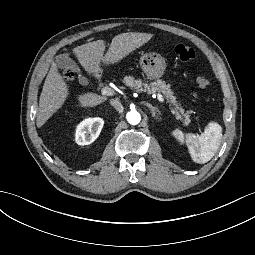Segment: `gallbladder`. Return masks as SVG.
I'll list each match as a JSON object with an SVG mask.
<instances>
[{"label":"gallbladder","mask_w":255,"mask_h":255,"mask_svg":"<svg viewBox=\"0 0 255 255\" xmlns=\"http://www.w3.org/2000/svg\"><path fill=\"white\" fill-rule=\"evenodd\" d=\"M55 61L59 68L70 69L76 73H80V68L77 66L75 61H73L69 54H60L55 57ZM79 83L85 85L88 83L87 78L83 77L81 74L78 75Z\"/></svg>","instance_id":"1"}]
</instances>
